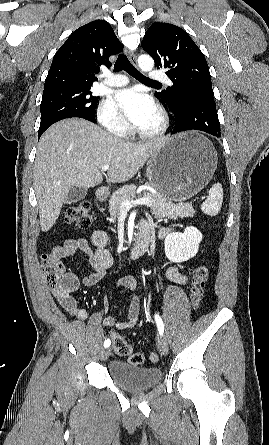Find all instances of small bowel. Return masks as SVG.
I'll list each match as a JSON object with an SVG mask.
<instances>
[{"mask_svg":"<svg viewBox=\"0 0 269 445\" xmlns=\"http://www.w3.org/2000/svg\"><path fill=\"white\" fill-rule=\"evenodd\" d=\"M140 231H149L150 228L146 222L140 224ZM170 233V229L163 228L159 232V237L164 238ZM108 237L107 234L102 230H97L92 234L91 243L84 238H76L66 240L61 245L54 247L51 257L60 261L63 258L75 256L77 253L81 252L88 257L89 265L92 272L86 274L82 278L84 285L91 286L96 284L104 275L106 270L112 265L113 258L110 251L107 248ZM167 277L179 284L186 285L187 277L180 271L178 267H169L166 271ZM76 282L77 278L68 274ZM118 288H129L132 291H137L138 283L132 276H123L117 281ZM55 296L62 305V307L72 316L78 320H85L87 318V311L79 307L75 299L69 294L65 295L62 291L57 290ZM65 297L69 299V303L65 301ZM103 310L106 314L103 324L107 327H115L117 329H129L134 327L139 320L140 313V303L139 298L136 296L130 303L125 320H117L115 313L117 311V306L109 311V303L107 297L103 298Z\"/></svg>","mask_w":269,"mask_h":445,"instance_id":"c3829d8e","label":"small bowel"}]
</instances>
